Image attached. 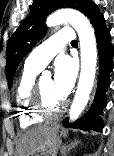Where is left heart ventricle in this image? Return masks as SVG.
Segmentation results:
<instances>
[{"label":"left heart ventricle","instance_id":"obj_1","mask_svg":"<svg viewBox=\"0 0 114 156\" xmlns=\"http://www.w3.org/2000/svg\"><path fill=\"white\" fill-rule=\"evenodd\" d=\"M41 88L50 107H56L62 100L53 90V79L44 78L40 81Z\"/></svg>","mask_w":114,"mask_h":156}]
</instances>
